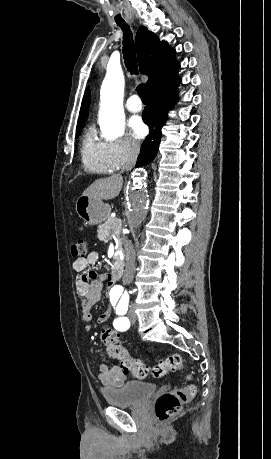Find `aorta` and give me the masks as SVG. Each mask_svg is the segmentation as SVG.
<instances>
[{"mask_svg": "<svg viewBox=\"0 0 271 459\" xmlns=\"http://www.w3.org/2000/svg\"><path fill=\"white\" fill-rule=\"evenodd\" d=\"M123 93L122 71L107 72L100 92L99 122L102 132L110 138H117L124 132ZM147 187V172L143 169L133 172L127 185L124 203L125 215L131 231L138 229L146 219L149 205Z\"/></svg>", "mask_w": 271, "mask_h": 459, "instance_id": "aorta-1", "label": "aorta"}]
</instances>
